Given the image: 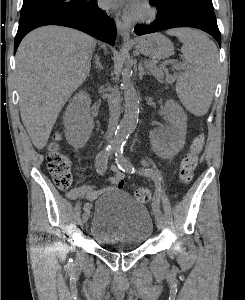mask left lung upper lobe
<instances>
[{"label": "left lung upper lobe", "instance_id": "5c2ea615", "mask_svg": "<svg viewBox=\"0 0 245 300\" xmlns=\"http://www.w3.org/2000/svg\"><path fill=\"white\" fill-rule=\"evenodd\" d=\"M150 1L166 2L169 4H172L175 2H188V3H195V4H199V5L214 9L212 0H150Z\"/></svg>", "mask_w": 245, "mask_h": 300}]
</instances>
